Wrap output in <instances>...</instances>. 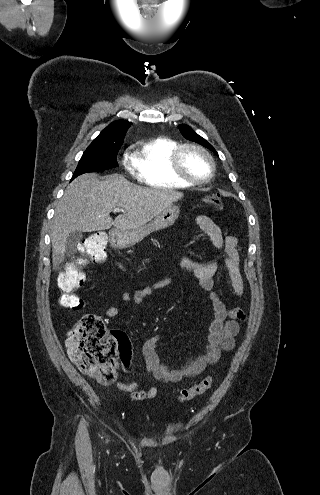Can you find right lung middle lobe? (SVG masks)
<instances>
[{"mask_svg": "<svg viewBox=\"0 0 320 495\" xmlns=\"http://www.w3.org/2000/svg\"><path fill=\"white\" fill-rule=\"evenodd\" d=\"M120 147L121 145L89 146L83 153L71 180L84 173L117 167Z\"/></svg>", "mask_w": 320, "mask_h": 495, "instance_id": "1", "label": "right lung middle lobe"}]
</instances>
